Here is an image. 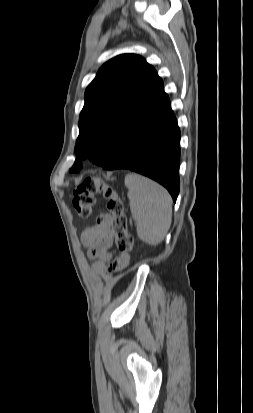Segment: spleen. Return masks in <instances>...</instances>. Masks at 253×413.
I'll return each mask as SVG.
<instances>
[{
  "mask_svg": "<svg viewBox=\"0 0 253 413\" xmlns=\"http://www.w3.org/2000/svg\"><path fill=\"white\" fill-rule=\"evenodd\" d=\"M125 186L138 237L149 245L161 243L172 222L170 194L158 183L135 173L125 176Z\"/></svg>",
  "mask_w": 253,
  "mask_h": 413,
  "instance_id": "obj_1",
  "label": "spleen"
}]
</instances>
